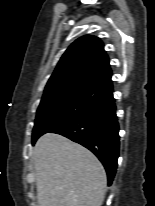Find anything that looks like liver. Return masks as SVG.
Masks as SVG:
<instances>
[{"label": "liver", "mask_w": 155, "mask_h": 206, "mask_svg": "<svg viewBox=\"0 0 155 206\" xmlns=\"http://www.w3.org/2000/svg\"><path fill=\"white\" fill-rule=\"evenodd\" d=\"M39 206H101L107 185L103 165L85 147L47 133L34 147Z\"/></svg>", "instance_id": "obj_1"}]
</instances>
